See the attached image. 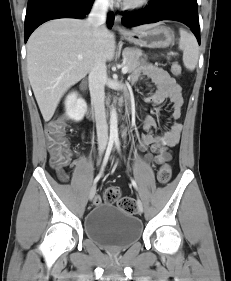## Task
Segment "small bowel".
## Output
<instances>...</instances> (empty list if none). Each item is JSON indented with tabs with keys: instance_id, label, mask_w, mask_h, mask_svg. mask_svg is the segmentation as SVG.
<instances>
[{
	"instance_id": "1",
	"label": "small bowel",
	"mask_w": 231,
	"mask_h": 281,
	"mask_svg": "<svg viewBox=\"0 0 231 281\" xmlns=\"http://www.w3.org/2000/svg\"><path fill=\"white\" fill-rule=\"evenodd\" d=\"M131 83L151 81L155 85V90L149 96V100L155 104H161L168 100L172 105V123L168 130L157 133V123L153 117H147L144 121L143 134L137 144L139 150L145 152V159L148 163L165 164L172 159L171 148L180 140L182 124L183 96L180 86L163 69L150 63L143 64L131 76ZM69 165H75V161H70ZM61 181L69 179L64 168H55Z\"/></svg>"
}]
</instances>
